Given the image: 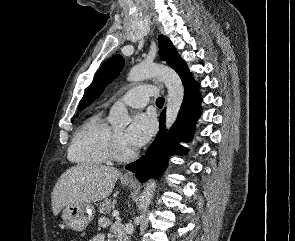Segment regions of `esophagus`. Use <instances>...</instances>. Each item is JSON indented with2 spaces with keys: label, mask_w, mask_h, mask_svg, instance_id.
<instances>
[{
  "label": "esophagus",
  "mask_w": 295,
  "mask_h": 241,
  "mask_svg": "<svg viewBox=\"0 0 295 241\" xmlns=\"http://www.w3.org/2000/svg\"><path fill=\"white\" fill-rule=\"evenodd\" d=\"M123 178H124V179H133V178H134V175H133L132 172H125V173L123 174Z\"/></svg>",
  "instance_id": "obj_1"
}]
</instances>
